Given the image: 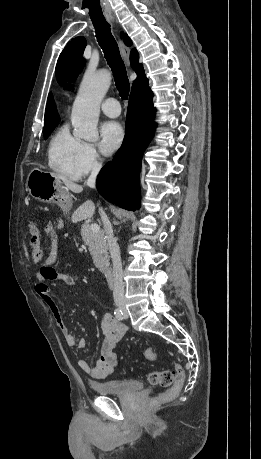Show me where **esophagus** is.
<instances>
[{
  "label": "esophagus",
  "instance_id": "1",
  "mask_svg": "<svg viewBox=\"0 0 261 459\" xmlns=\"http://www.w3.org/2000/svg\"><path fill=\"white\" fill-rule=\"evenodd\" d=\"M111 22L114 23V19H111ZM118 44H119V49H120L122 59L124 60L126 66L129 68L130 67V61H129L130 49L124 44L122 39H120L119 37H118Z\"/></svg>",
  "mask_w": 261,
  "mask_h": 459
}]
</instances>
